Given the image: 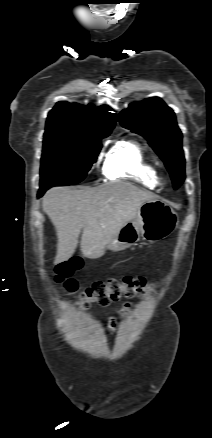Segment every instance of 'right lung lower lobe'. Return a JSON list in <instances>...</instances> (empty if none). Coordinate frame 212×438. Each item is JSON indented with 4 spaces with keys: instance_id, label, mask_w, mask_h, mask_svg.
I'll use <instances>...</instances> for the list:
<instances>
[{
    "instance_id": "98d812e1",
    "label": "right lung lower lobe",
    "mask_w": 212,
    "mask_h": 438,
    "mask_svg": "<svg viewBox=\"0 0 212 438\" xmlns=\"http://www.w3.org/2000/svg\"><path fill=\"white\" fill-rule=\"evenodd\" d=\"M47 189H49L48 186L40 187L39 192H38V197H41Z\"/></svg>"
}]
</instances>
